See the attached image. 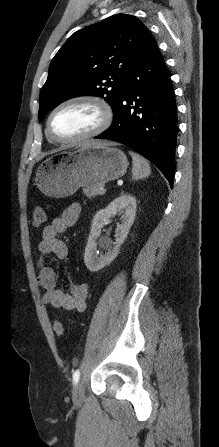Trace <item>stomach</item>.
<instances>
[{
  "label": "stomach",
  "instance_id": "obj_1",
  "mask_svg": "<svg viewBox=\"0 0 219 447\" xmlns=\"http://www.w3.org/2000/svg\"><path fill=\"white\" fill-rule=\"evenodd\" d=\"M128 167L119 149L98 142L74 151H64L43 161L36 171L39 190L49 197L63 198L78 188L104 185L123 176Z\"/></svg>",
  "mask_w": 219,
  "mask_h": 447
}]
</instances>
